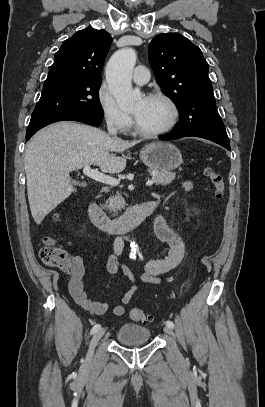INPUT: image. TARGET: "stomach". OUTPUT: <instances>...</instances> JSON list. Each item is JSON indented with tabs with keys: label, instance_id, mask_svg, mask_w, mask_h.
Segmentation results:
<instances>
[{
	"label": "stomach",
	"instance_id": "obj_1",
	"mask_svg": "<svg viewBox=\"0 0 265 407\" xmlns=\"http://www.w3.org/2000/svg\"><path fill=\"white\" fill-rule=\"evenodd\" d=\"M140 158L152 170L171 171L182 164V155L169 142H152L140 151Z\"/></svg>",
	"mask_w": 265,
	"mask_h": 407
}]
</instances>
